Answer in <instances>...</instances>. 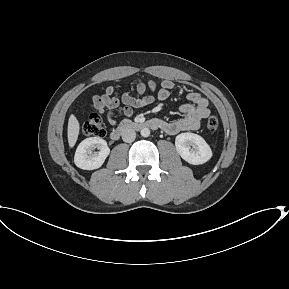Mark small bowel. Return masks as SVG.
<instances>
[{
  "instance_id": "small-bowel-1",
  "label": "small bowel",
  "mask_w": 289,
  "mask_h": 289,
  "mask_svg": "<svg viewBox=\"0 0 289 289\" xmlns=\"http://www.w3.org/2000/svg\"><path fill=\"white\" fill-rule=\"evenodd\" d=\"M147 88L151 94L142 96ZM174 82L164 80L157 88V84L150 80L147 83L139 80L136 83V93L126 92L121 97L115 94V89L108 86L103 94L94 95L91 99V107L100 114L106 113L111 125L116 123L114 116L120 113L124 116H131L134 109L142 108L152 104L155 99L165 101L172 89ZM208 99L198 92L188 94V102L181 106V118L173 121L160 122V128L169 135H176L184 131H194L200 128L202 121L210 114Z\"/></svg>"
}]
</instances>
